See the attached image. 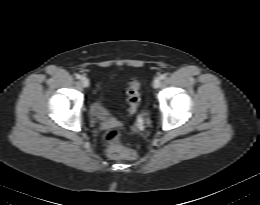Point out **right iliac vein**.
I'll list each match as a JSON object with an SVG mask.
<instances>
[{
	"mask_svg": "<svg viewBox=\"0 0 260 205\" xmlns=\"http://www.w3.org/2000/svg\"><path fill=\"white\" fill-rule=\"evenodd\" d=\"M81 84H82L83 87H88V86H89V80H88V78L82 77V78H81Z\"/></svg>",
	"mask_w": 260,
	"mask_h": 205,
	"instance_id": "63e3f726",
	"label": "right iliac vein"
}]
</instances>
